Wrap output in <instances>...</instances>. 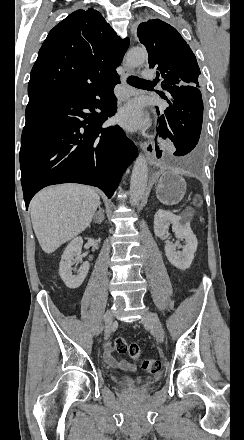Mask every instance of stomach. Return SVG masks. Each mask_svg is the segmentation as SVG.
I'll list each match as a JSON object with an SVG mask.
<instances>
[{"mask_svg": "<svg viewBox=\"0 0 244 440\" xmlns=\"http://www.w3.org/2000/svg\"><path fill=\"white\" fill-rule=\"evenodd\" d=\"M186 182L175 170H162L156 188V196L165 206H175L186 194Z\"/></svg>", "mask_w": 244, "mask_h": 440, "instance_id": "0dacf381", "label": "stomach"}]
</instances>
